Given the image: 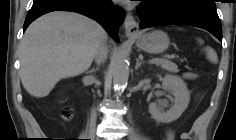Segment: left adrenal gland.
Listing matches in <instances>:
<instances>
[{"label": "left adrenal gland", "mask_w": 236, "mask_h": 140, "mask_svg": "<svg viewBox=\"0 0 236 140\" xmlns=\"http://www.w3.org/2000/svg\"><path fill=\"white\" fill-rule=\"evenodd\" d=\"M142 64H144V61H141L140 59H136L135 70H137Z\"/></svg>", "instance_id": "a2214340"}]
</instances>
